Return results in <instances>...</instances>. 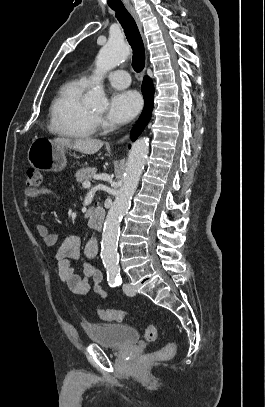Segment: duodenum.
Wrapping results in <instances>:
<instances>
[{
	"label": "duodenum",
	"instance_id": "1",
	"mask_svg": "<svg viewBox=\"0 0 265 407\" xmlns=\"http://www.w3.org/2000/svg\"><path fill=\"white\" fill-rule=\"evenodd\" d=\"M105 220V211L101 207L95 208L88 216L89 227L100 230L103 227Z\"/></svg>",
	"mask_w": 265,
	"mask_h": 407
}]
</instances>
